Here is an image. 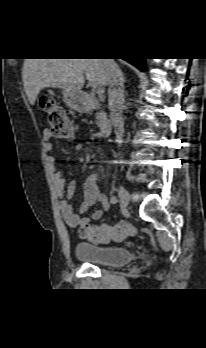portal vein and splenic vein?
Listing matches in <instances>:
<instances>
[{
	"mask_svg": "<svg viewBox=\"0 0 206 348\" xmlns=\"http://www.w3.org/2000/svg\"><path fill=\"white\" fill-rule=\"evenodd\" d=\"M92 90L94 91V92H96L97 94H102L103 93V88H102V86L101 85H99V84H97V83H94L93 85H92Z\"/></svg>",
	"mask_w": 206,
	"mask_h": 348,
	"instance_id": "1",
	"label": "portal vein and splenic vein"
}]
</instances>
